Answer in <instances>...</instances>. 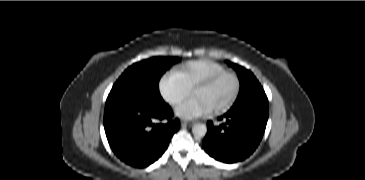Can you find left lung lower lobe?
I'll return each instance as SVG.
<instances>
[{
  "mask_svg": "<svg viewBox=\"0 0 365 180\" xmlns=\"http://www.w3.org/2000/svg\"><path fill=\"white\" fill-rule=\"evenodd\" d=\"M224 117L226 122L220 126H214L211 121L207 123L203 148L216 160L241 161L253 153L264 134L268 120L266 94L236 101Z\"/></svg>",
  "mask_w": 365,
  "mask_h": 180,
  "instance_id": "0a47b994",
  "label": "left lung lower lobe"
}]
</instances>
